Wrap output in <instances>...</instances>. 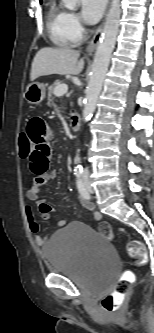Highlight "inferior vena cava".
Returning a JSON list of instances; mask_svg holds the SVG:
<instances>
[{
  "label": "inferior vena cava",
  "instance_id": "inferior-vena-cava-1",
  "mask_svg": "<svg viewBox=\"0 0 154 333\" xmlns=\"http://www.w3.org/2000/svg\"><path fill=\"white\" fill-rule=\"evenodd\" d=\"M88 171H87V169H85V173H87Z\"/></svg>",
  "mask_w": 154,
  "mask_h": 333
}]
</instances>
